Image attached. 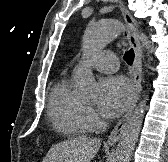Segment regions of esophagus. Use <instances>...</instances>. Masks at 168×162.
<instances>
[{
	"label": "esophagus",
	"instance_id": "esophagus-1",
	"mask_svg": "<svg viewBox=\"0 0 168 162\" xmlns=\"http://www.w3.org/2000/svg\"><path fill=\"white\" fill-rule=\"evenodd\" d=\"M119 2L121 11L124 16V20L128 28V41L135 52L134 74H133L134 96L127 113L118 121L115 128L108 137L107 140L108 144H115L122 136L126 124L129 118L131 117L134 108L136 107V104L138 102L139 95L141 92V81H142V48L140 44L139 27L137 22L130 14V12L126 9L122 0H119Z\"/></svg>",
	"mask_w": 168,
	"mask_h": 162
}]
</instances>
